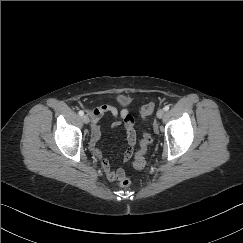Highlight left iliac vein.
<instances>
[{"label": "left iliac vein", "mask_w": 243, "mask_h": 243, "mask_svg": "<svg viewBox=\"0 0 243 243\" xmlns=\"http://www.w3.org/2000/svg\"><path fill=\"white\" fill-rule=\"evenodd\" d=\"M156 115H157L158 118H163L164 115H165V111H164V109H159V110L157 111V114H156ZM154 129L157 130V127L155 126Z\"/></svg>", "instance_id": "1"}]
</instances>
